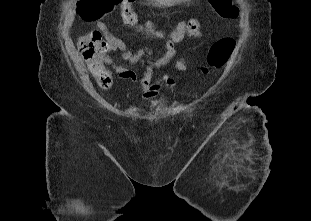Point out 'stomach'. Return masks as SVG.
<instances>
[{
	"label": "stomach",
	"instance_id": "1",
	"mask_svg": "<svg viewBox=\"0 0 311 221\" xmlns=\"http://www.w3.org/2000/svg\"><path fill=\"white\" fill-rule=\"evenodd\" d=\"M156 2H158L159 6H161V4H169V2L176 4V2H180V0H156Z\"/></svg>",
	"mask_w": 311,
	"mask_h": 221
}]
</instances>
